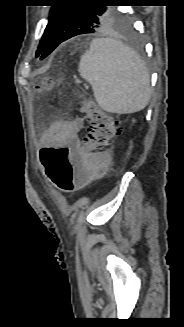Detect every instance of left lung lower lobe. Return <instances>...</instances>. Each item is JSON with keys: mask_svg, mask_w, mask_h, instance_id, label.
I'll return each instance as SVG.
<instances>
[{"mask_svg": "<svg viewBox=\"0 0 184 327\" xmlns=\"http://www.w3.org/2000/svg\"><path fill=\"white\" fill-rule=\"evenodd\" d=\"M76 35H79L74 30H69V28H66L64 26V20L63 17L60 18L58 23L56 24L55 29L53 30V33L49 39V42L47 43L46 47L44 48L43 52L41 53V58H45L47 55H49L60 43L63 41L74 37ZM134 41L138 47H142V42L138 37H134Z\"/></svg>", "mask_w": 184, "mask_h": 327, "instance_id": "obj_1", "label": "left lung lower lobe"}]
</instances>
